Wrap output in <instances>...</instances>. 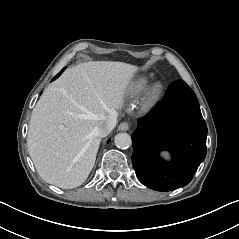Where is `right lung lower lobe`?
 Segmentation results:
<instances>
[{"instance_id": "98d812e1", "label": "right lung lower lobe", "mask_w": 239, "mask_h": 239, "mask_svg": "<svg viewBox=\"0 0 239 239\" xmlns=\"http://www.w3.org/2000/svg\"><path fill=\"white\" fill-rule=\"evenodd\" d=\"M64 69H65V68H63V69L61 70V72H60L56 77H58V76L64 71ZM56 77H55V78H56Z\"/></svg>"}]
</instances>
